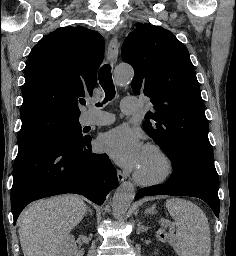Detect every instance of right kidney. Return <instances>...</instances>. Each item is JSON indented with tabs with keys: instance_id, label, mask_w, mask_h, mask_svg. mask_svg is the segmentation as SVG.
Listing matches in <instances>:
<instances>
[{
	"instance_id": "obj_1",
	"label": "right kidney",
	"mask_w": 236,
	"mask_h": 256,
	"mask_svg": "<svg viewBox=\"0 0 236 256\" xmlns=\"http://www.w3.org/2000/svg\"><path fill=\"white\" fill-rule=\"evenodd\" d=\"M63 256H77V246L73 236H68V238H66Z\"/></svg>"
}]
</instances>
